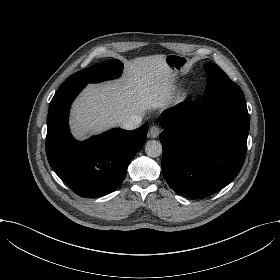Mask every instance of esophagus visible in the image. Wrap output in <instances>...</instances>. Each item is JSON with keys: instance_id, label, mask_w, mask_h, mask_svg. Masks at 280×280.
<instances>
[{"instance_id": "1", "label": "esophagus", "mask_w": 280, "mask_h": 280, "mask_svg": "<svg viewBox=\"0 0 280 280\" xmlns=\"http://www.w3.org/2000/svg\"><path fill=\"white\" fill-rule=\"evenodd\" d=\"M159 133H160V129L158 126H151L148 133V137L154 139L158 137Z\"/></svg>"}]
</instances>
